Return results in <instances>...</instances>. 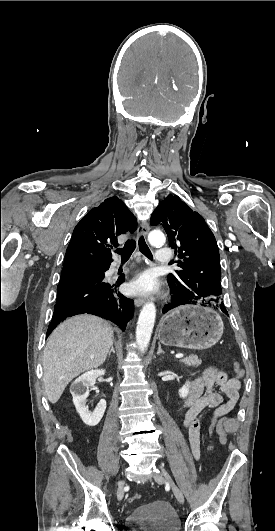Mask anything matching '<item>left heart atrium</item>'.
<instances>
[{
    "mask_svg": "<svg viewBox=\"0 0 275 531\" xmlns=\"http://www.w3.org/2000/svg\"><path fill=\"white\" fill-rule=\"evenodd\" d=\"M156 277L151 272L139 274L131 284L132 290L138 293H146L155 288Z\"/></svg>",
    "mask_w": 275,
    "mask_h": 531,
    "instance_id": "1",
    "label": "left heart atrium"
}]
</instances>
